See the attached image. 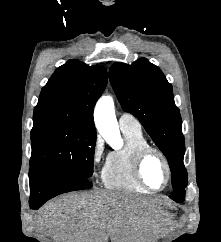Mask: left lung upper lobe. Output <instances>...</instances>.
<instances>
[{
	"label": "left lung upper lobe",
	"mask_w": 221,
	"mask_h": 242,
	"mask_svg": "<svg viewBox=\"0 0 221 242\" xmlns=\"http://www.w3.org/2000/svg\"><path fill=\"white\" fill-rule=\"evenodd\" d=\"M109 77L123 110L138 118L166 156L174 191H184L187 186V171L183 165L185 143L171 84L162 71L145 58L131 65L114 63Z\"/></svg>",
	"instance_id": "5c2ea615"
}]
</instances>
